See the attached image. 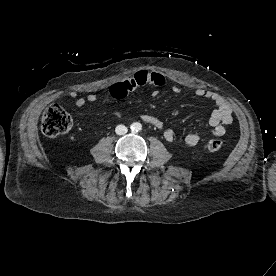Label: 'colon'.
<instances>
[{
	"mask_svg": "<svg viewBox=\"0 0 276 276\" xmlns=\"http://www.w3.org/2000/svg\"><path fill=\"white\" fill-rule=\"evenodd\" d=\"M71 116L59 105H50L42 116L41 129L48 137H55L68 132L72 127ZM223 147L220 138L208 139L204 144L207 152H217Z\"/></svg>",
	"mask_w": 276,
	"mask_h": 276,
	"instance_id": "colon-1",
	"label": "colon"
}]
</instances>
